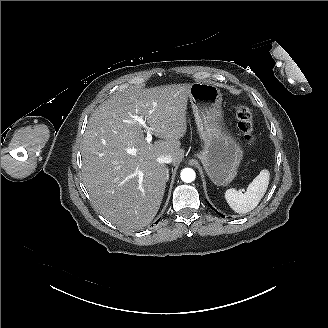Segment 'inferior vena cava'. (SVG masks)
Segmentation results:
<instances>
[{
  "instance_id": "602c4592",
  "label": "inferior vena cava",
  "mask_w": 328,
  "mask_h": 328,
  "mask_svg": "<svg viewBox=\"0 0 328 328\" xmlns=\"http://www.w3.org/2000/svg\"><path fill=\"white\" fill-rule=\"evenodd\" d=\"M158 163L169 164L172 162V157L170 155H160L157 158Z\"/></svg>"
}]
</instances>
